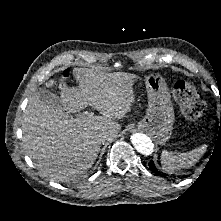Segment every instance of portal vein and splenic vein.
<instances>
[{
	"label": "portal vein and splenic vein",
	"mask_w": 221,
	"mask_h": 221,
	"mask_svg": "<svg viewBox=\"0 0 221 221\" xmlns=\"http://www.w3.org/2000/svg\"><path fill=\"white\" fill-rule=\"evenodd\" d=\"M89 116H93V113L91 112V113H87Z\"/></svg>",
	"instance_id": "obj_1"
}]
</instances>
